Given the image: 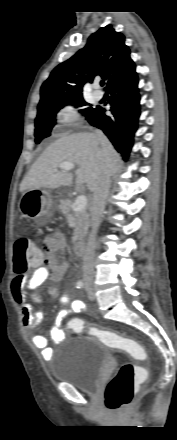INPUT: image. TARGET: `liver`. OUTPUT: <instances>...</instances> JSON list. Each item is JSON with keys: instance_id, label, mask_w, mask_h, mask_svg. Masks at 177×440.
Masks as SVG:
<instances>
[{"instance_id": "6515ba94", "label": "liver", "mask_w": 177, "mask_h": 440, "mask_svg": "<svg viewBox=\"0 0 177 440\" xmlns=\"http://www.w3.org/2000/svg\"><path fill=\"white\" fill-rule=\"evenodd\" d=\"M120 159V155L103 134L101 138L93 133L68 135L56 140L41 154L22 180L20 191L70 186L73 181L72 173L67 170L55 171L62 162L76 164V185L85 184L93 191L101 165L107 167L110 177L118 170Z\"/></svg>"}]
</instances>
